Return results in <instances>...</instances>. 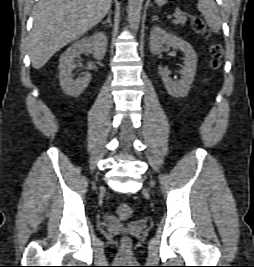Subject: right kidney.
I'll return each mask as SVG.
<instances>
[{
	"label": "right kidney",
	"mask_w": 254,
	"mask_h": 267,
	"mask_svg": "<svg viewBox=\"0 0 254 267\" xmlns=\"http://www.w3.org/2000/svg\"><path fill=\"white\" fill-rule=\"evenodd\" d=\"M107 36L104 32H96L89 37L73 43L60 57L59 80L62 90L69 96H79L89 85L91 74L86 73L83 77L73 79L75 58L82 53H91L97 60H102L106 54Z\"/></svg>",
	"instance_id": "right-kidney-1"
}]
</instances>
